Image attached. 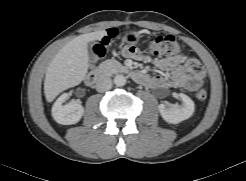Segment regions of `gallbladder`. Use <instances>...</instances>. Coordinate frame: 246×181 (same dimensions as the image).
<instances>
[{"label":"gallbladder","instance_id":"1","mask_svg":"<svg viewBox=\"0 0 246 181\" xmlns=\"http://www.w3.org/2000/svg\"><path fill=\"white\" fill-rule=\"evenodd\" d=\"M90 58L92 61H97L98 57L93 53V44L89 45Z\"/></svg>","mask_w":246,"mask_h":181}]
</instances>
